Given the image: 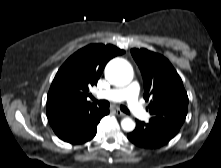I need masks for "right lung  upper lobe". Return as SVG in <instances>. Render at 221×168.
<instances>
[{
	"mask_svg": "<svg viewBox=\"0 0 221 168\" xmlns=\"http://www.w3.org/2000/svg\"><path fill=\"white\" fill-rule=\"evenodd\" d=\"M124 53L113 45L91 44L70 56L58 70L47 96L50 125L98 111L87 101L89 89L97 81L107 62Z\"/></svg>",
	"mask_w": 221,
	"mask_h": 168,
	"instance_id": "right-lung-upper-lobe-1",
	"label": "right lung upper lobe"
}]
</instances>
